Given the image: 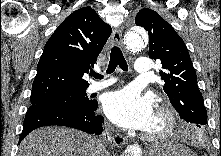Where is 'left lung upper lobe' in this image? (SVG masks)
<instances>
[{
    "mask_svg": "<svg viewBox=\"0 0 221 156\" xmlns=\"http://www.w3.org/2000/svg\"><path fill=\"white\" fill-rule=\"evenodd\" d=\"M135 23L149 34V57L159 59L163 89L181 119L199 128L207 124V111L197 85L188 49L173 27L157 12L141 9Z\"/></svg>",
    "mask_w": 221,
    "mask_h": 156,
    "instance_id": "obj_1",
    "label": "left lung upper lobe"
}]
</instances>
